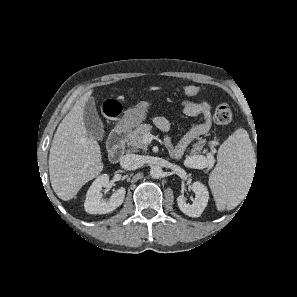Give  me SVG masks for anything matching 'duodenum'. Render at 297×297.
I'll return each mask as SVG.
<instances>
[{
  "label": "duodenum",
  "mask_w": 297,
  "mask_h": 297,
  "mask_svg": "<svg viewBox=\"0 0 297 297\" xmlns=\"http://www.w3.org/2000/svg\"><path fill=\"white\" fill-rule=\"evenodd\" d=\"M129 132L130 127L124 122L111 132L108 140V156L111 162L116 163L121 159Z\"/></svg>",
  "instance_id": "1"
}]
</instances>
